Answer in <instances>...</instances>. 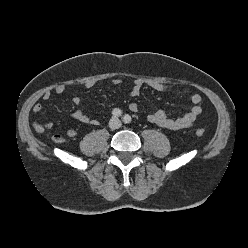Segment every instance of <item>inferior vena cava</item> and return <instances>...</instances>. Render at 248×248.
<instances>
[{
    "label": "inferior vena cava",
    "instance_id": "obj_1",
    "mask_svg": "<svg viewBox=\"0 0 248 248\" xmlns=\"http://www.w3.org/2000/svg\"><path fill=\"white\" fill-rule=\"evenodd\" d=\"M121 124H120V122H119V126H120ZM113 129L115 128V127H112Z\"/></svg>",
    "mask_w": 248,
    "mask_h": 248
}]
</instances>
